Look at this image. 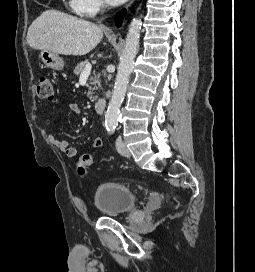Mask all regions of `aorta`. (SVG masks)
Segmentation results:
<instances>
[{"instance_id": "obj_1", "label": "aorta", "mask_w": 255, "mask_h": 272, "mask_svg": "<svg viewBox=\"0 0 255 272\" xmlns=\"http://www.w3.org/2000/svg\"><path fill=\"white\" fill-rule=\"evenodd\" d=\"M141 26V19H133L129 25L125 47L118 65L112 97L105 114L106 129H114L118 125L119 109L125 97L129 77L133 71L134 60L139 47Z\"/></svg>"}]
</instances>
